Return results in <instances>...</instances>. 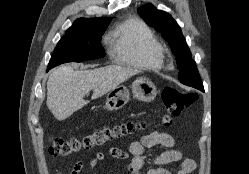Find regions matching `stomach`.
Returning <instances> with one entry per match:
<instances>
[{"label": "stomach", "mask_w": 249, "mask_h": 174, "mask_svg": "<svg viewBox=\"0 0 249 174\" xmlns=\"http://www.w3.org/2000/svg\"><path fill=\"white\" fill-rule=\"evenodd\" d=\"M132 93L138 100L150 102L156 97L157 91L155 85L149 79L140 77L132 83ZM129 97V91L125 86H117L109 91L105 107L108 110L120 109L129 101Z\"/></svg>", "instance_id": "0dacf381"}]
</instances>
